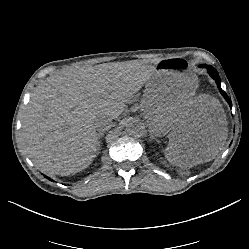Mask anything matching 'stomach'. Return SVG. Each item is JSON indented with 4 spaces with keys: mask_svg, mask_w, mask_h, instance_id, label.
I'll list each match as a JSON object with an SVG mask.
<instances>
[{
    "mask_svg": "<svg viewBox=\"0 0 249 249\" xmlns=\"http://www.w3.org/2000/svg\"><path fill=\"white\" fill-rule=\"evenodd\" d=\"M198 88L197 76L180 58L161 59L145 85L143 116L158 135H171L183 122L190 99Z\"/></svg>",
    "mask_w": 249,
    "mask_h": 249,
    "instance_id": "obj_1",
    "label": "stomach"
}]
</instances>
